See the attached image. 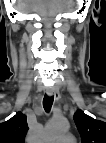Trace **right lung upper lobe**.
Here are the masks:
<instances>
[{
	"mask_svg": "<svg viewBox=\"0 0 106 143\" xmlns=\"http://www.w3.org/2000/svg\"><path fill=\"white\" fill-rule=\"evenodd\" d=\"M28 129L26 115L18 112L0 124V143H24Z\"/></svg>",
	"mask_w": 106,
	"mask_h": 143,
	"instance_id": "cb5924a9",
	"label": "right lung upper lobe"
}]
</instances>
